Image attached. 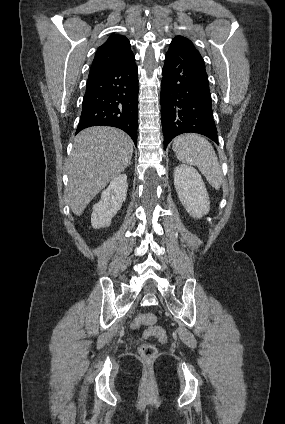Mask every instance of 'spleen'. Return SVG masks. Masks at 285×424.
Segmentation results:
<instances>
[{
	"mask_svg": "<svg viewBox=\"0 0 285 424\" xmlns=\"http://www.w3.org/2000/svg\"><path fill=\"white\" fill-rule=\"evenodd\" d=\"M172 149L181 162L197 166L213 188L221 187V166L207 139L194 133L183 134L173 140Z\"/></svg>",
	"mask_w": 285,
	"mask_h": 424,
	"instance_id": "obj_1",
	"label": "spleen"
}]
</instances>
